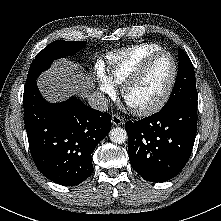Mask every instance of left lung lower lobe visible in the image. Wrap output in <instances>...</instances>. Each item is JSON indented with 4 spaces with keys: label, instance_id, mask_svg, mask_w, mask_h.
Masks as SVG:
<instances>
[{
    "label": "left lung lower lobe",
    "instance_id": "0a47b994",
    "mask_svg": "<svg viewBox=\"0 0 221 221\" xmlns=\"http://www.w3.org/2000/svg\"><path fill=\"white\" fill-rule=\"evenodd\" d=\"M129 159L145 180L175 177L191 155L197 130V99H184L166 109L125 123Z\"/></svg>",
    "mask_w": 221,
    "mask_h": 221
}]
</instances>
